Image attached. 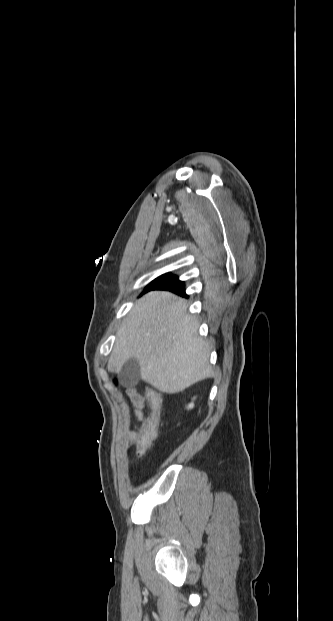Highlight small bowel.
Returning <instances> with one entry per match:
<instances>
[{"mask_svg":"<svg viewBox=\"0 0 333 621\" xmlns=\"http://www.w3.org/2000/svg\"><path fill=\"white\" fill-rule=\"evenodd\" d=\"M149 392L150 389L146 390V394L145 396H143L138 393L137 390L134 388H128L126 390V395L131 401L134 419L137 422H143L147 415V407L149 406ZM138 435L139 431L137 429L130 431L129 438L132 444L137 443Z\"/></svg>","mask_w":333,"mask_h":621,"instance_id":"c3829d8e","label":"small bowel"}]
</instances>
